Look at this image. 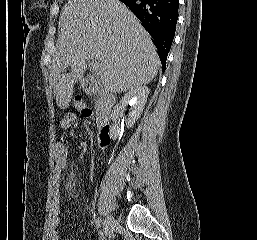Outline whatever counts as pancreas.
<instances>
[{"instance_id": "obj_1", "label": "pancreas", "mask_w": 257, "mask_h": 240, "mask_svg": "<svg viewBox=\"0 0 257 240\" xmlns=\"http://www.w3.org/2000/svg\"><path fill=\"white\" fill-rule=\"evenodd\" d=\"M95 109H96L98 115L100 113H104L107 110V104H106V101L104 98L98 97L95 100Z\"/></svg>"}]
</instances>
